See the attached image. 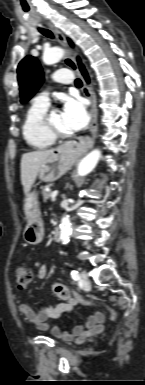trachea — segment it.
Returning a JSON list of instances; mask_svg holds the SVG:
<instances>
[{"label":"trachea","mask_w":145,"mask_h":385,"mask_svg":"<svg viewBox=\"0 0 145 385\" xmlns=\"http://www.w3.org/2000/svg\"><path fill=\"white\" fill-rule=\"evenodd\" d=\"M39 31H40L43 35H45L46 37L53 38V34H52L51 31H49V30H47V29H43V28H39ZM75 85H76L77 87H81V86H82L81 80H80V79H76V80H75Z\"/></svg>","instance_id":"3493384b"}]
</instances>
